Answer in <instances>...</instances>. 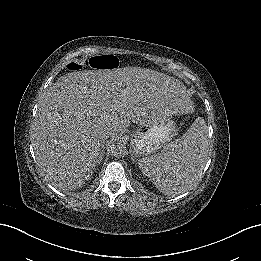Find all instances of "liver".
<instances>
[{"instance_id": "liver-1", "label": "liver", "mask_w": 261, "mask_h": 261, "mask_svg": "<svg viewBox=\"0 0 261 261\" xmlns=\"http://www.w3.org/2000/svg\"><path fill=\"white\" fill-rule=\"evenodd\" d=\"M139 101L108 73L79 72L62 80L39 101L34 129L38 165L61 179L90 174L102 156L104 136L125 129L115 110L127 103L143 115L159 107L154 100L146 106Z\"/></svg>"}]
</instances>
